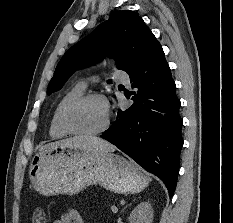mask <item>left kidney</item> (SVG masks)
<instances>
[{
    "label": "left kidney",
    "instance_id": "1",
    "mask_svg": "<svg viewBox=\"0 0 233 223\" xmlns=\"http://www.w3.org/2000/svg\"><path fill=\"white\" fill-rule=\"evenodd\" d=\"M152 205L148 201H141L129 215L130 223H152L153 221Z\"/></svg>",
    "mask_w": 233,
    "mask_h": 223
}]
</instances>
